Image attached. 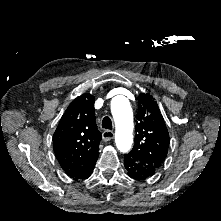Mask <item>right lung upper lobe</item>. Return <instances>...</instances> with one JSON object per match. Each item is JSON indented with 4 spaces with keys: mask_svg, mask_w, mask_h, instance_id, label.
<instances>
[{
    "mask_svg": "<svg viewBox=\"0 0 221 221\" xmlns=\"http://www.w3.org/2000/svg\"><path fill=\"white\" fill-rule=\"evenodd\" d=\"M100 140L94 97L82 94L67 107L53 135L54 152L64 172L80 178L97 161Z\"/></svg>",
    "mask_w": 221,
    "mask_h": 221,
    "instance_id": "right-lung-upper-lobe-1",
    "label": "right lung upper lobe"
}]
</instances>
